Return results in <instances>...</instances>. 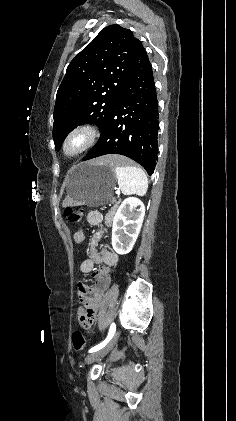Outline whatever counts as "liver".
<instances>
[{
  "instance_id": "obj_1",
  "label": "liver",
  "mask_w": 236,
  "mask_h": 421,
  "mask_svg": "<svg viewBox=\"0 0 236 421\" xmlns=\"http://www.w3.org/2000/svg\"><path fill=\"white\" fill-rule=\"evenodd\" d=\"M126 158L123 156H117V154H112V156H101L97 162L100 164H110V166H116L117 162H125ZM71 202V198L69 196H65L62 204L63 206H69Z\"/></svg>"
}]
</instances>
